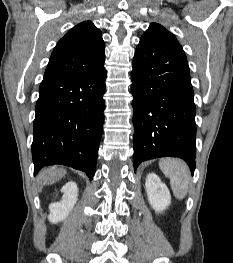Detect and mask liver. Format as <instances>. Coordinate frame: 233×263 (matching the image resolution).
<instances>
[{
	"label": "liver",
	"mask_w": 233,
	"mask_h": 263,
	"mask_svg": "<svg viewBox=\"0 0 233 263\" xmlns=\"http://www.w3.org/2000/svg\"><path fill=\"white\" fill-rule=\"evenodd\" d=\"M66 170L62 168L52 167L43 169L37 176V182L40 186L53 184L65 176Z\"/></svg>",
	"instance_id": "obj_1"
}]
</instances>
